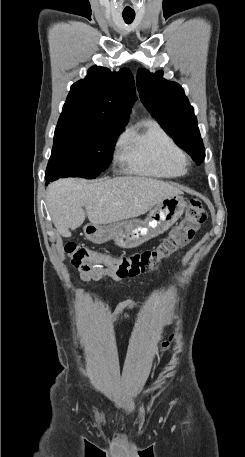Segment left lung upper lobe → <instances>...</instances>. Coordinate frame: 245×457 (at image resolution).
Masks as SVG:
<instances>
[{
    "label": "left lung upper lobe",
    "instance_id": "left-lung-upper-lobe-1",
    "mask_svg": "<svg viewBox=\"0 0 245 457\" xmlns=\"http://www.w3.org/2000/svg\"><path fill=\"white\" fill-rule=\"evenodd\" d=\"M140 99L161 127L198 164L204 160L205 150L197 127L193 107L190 106L182 87L146 69L137 72Z\"/></svg>",
    "mask_w": 245,
    "mask_h": 457
}]
</instances>
